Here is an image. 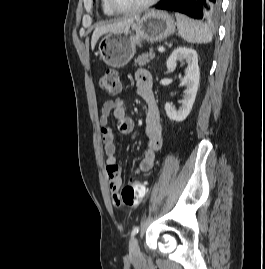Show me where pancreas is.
<instances>
[{
  "label": "pancreas",
  "mask_w": 265,
  "mask_h": 269,
  "mask_svg": "<svg viewBox=\"0 0 265 269\" xmlns=\"http://www.w3.org/2000/svg\"><path fill=\"white\" fill-rule=\"evenodd\" d=\"M154 57H155V53H154L153 49H150L149 52L144 53V54L138 56L137 59H135V65H139L140 67L145 66Z\"/></svg>",
  "instance_id": "1"
}]
</instances>
